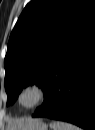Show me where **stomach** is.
<instances>
[{
	"label": "stomach",
	"instance_id": "1",
	"mask_svg": "<svg viewBox=\"0 0 95 130\" xmlns=\"http://www.w3.org/2000/svg\"><path fill=\"white\" fill-rule=\"evenodd\" d=\"M16 130H48V126L40 119H28L21 128Z\"/></svg>",
	"mask_w": 95,
	"mask_h": 130
}]
</instances>
